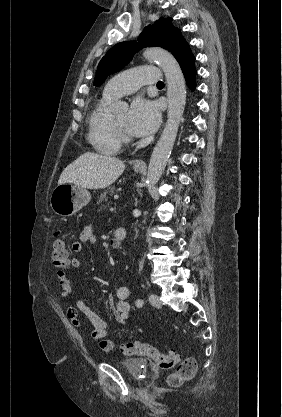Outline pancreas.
Here are the masks:
<instances>
[{
    "mask_svg": "<svg viewBox=\"0 0 282 417\" xmlns=\"http://www.w3.org/2000/svg\"><path fill=\"white\" fill-rule=\"evenodd\" d=\"M115 190H116L115 186H107L106 190H104V192L100 194L98 204H102L104 200H107L108 192H110V194H114Z\"/></svg>",
    "mask_w": 282,
    "mask_h": 417,
    "instance_id": "obj_1",
    "label": "pancreas"
}]
</instances>
